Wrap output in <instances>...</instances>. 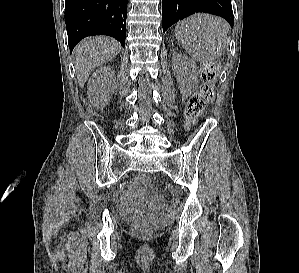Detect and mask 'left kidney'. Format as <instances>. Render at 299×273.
I'll use <instances>...</instances> for the list:
<instances>
[{
    "instance_id": "left-kidney-1",
    "label": "left kidney",
    "mask_w": 299,
    "mask_h": 273,
    "mask_svg": "<svg viewBox=\"0 0 299 273\" xmlns=\"http://www.w3.org/2000/svg\"><path fill=\"white\" fill-rule=\"evenodd\" d=\"M173 71L177 77L178 88L184 96H190L198 86V68L188 57L175 53Z\"/></svg>"
}]
</instances>
